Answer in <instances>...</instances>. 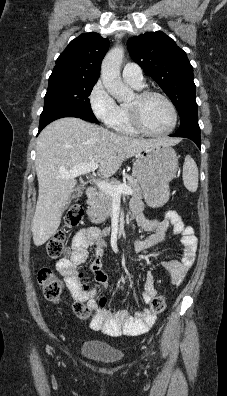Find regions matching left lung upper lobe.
<instances>
[{"label": "left lung upper lobe", "mask_w": 227, "mask_h": 396, "mask_svg": "<svg viewBox=\"0 0 227 396\" xmlns=\"http://www.w3.org/2000/svg\"><path fill=\"white\" fill-rule=\"evenodd\" d=\"M132 59L162 88L177 108L180 120L197 112L193 68L173 39L165 33L147 32L127 41Z\"/></svg>", "instance_id": "obj_1"}]
</instances>
